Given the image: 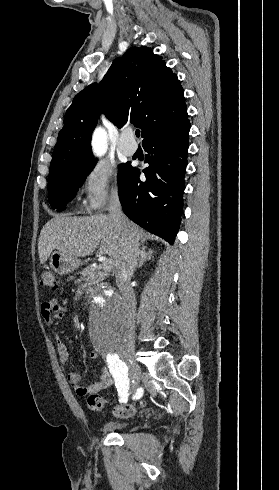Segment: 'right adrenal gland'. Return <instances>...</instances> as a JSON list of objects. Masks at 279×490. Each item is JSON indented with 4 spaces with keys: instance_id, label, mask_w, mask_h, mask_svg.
I'll list each match as a JSON object with an SVG mask.
<instances>
[{
    "instance_id": "right-adrenal-gland-1",
    "label": "right adrenal gland",
    "mask_w": 279,
    "mask_h": 490,
    "mask_svg": "<svg viewBox=\"0 0 279 490\" xmlns=\"http://www.w3.org/2000/svg\"><path fill=\"white\" fill-rule=\"evenodd\" d=\"M153 254L154 250L147 248V246H143V248L140 250L139 264H137L135 270H137V268H142L144 262H149V260H152V258H154Z\"/></svg>"
}]
</instances>
